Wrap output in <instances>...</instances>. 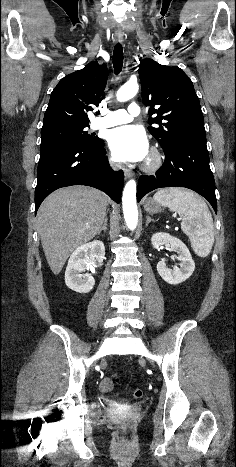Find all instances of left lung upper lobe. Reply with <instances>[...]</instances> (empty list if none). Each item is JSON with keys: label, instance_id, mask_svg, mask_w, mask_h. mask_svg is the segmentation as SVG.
Returning a JSON list of instances; mask_svg holds the SVG:
<instances>
[{"label": "left lung upper lobe", "instance_id": "obj_1", "mask_svg": "<svg viewBox=\"0 0 236 467\" xmlns=\"http://www.w3.org/2000/svg\"><path fill=\"white\" fill-rule=\"evenodd\" d=\"M142 99L150 106L149 132L163 150L180 137L205 133L199 99L191 79L178 67H168L146 58L139 65ZM157 106V108H155Z\"/></svg>", "mask_w": 236, "mask_h": 467}]
</instances>
